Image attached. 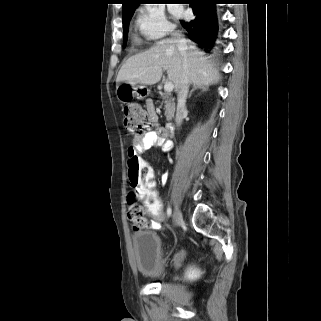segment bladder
I'll list each match as a JSON object with an SVG mask.
<instances>
[{"mask_svg": "<svg viewBox=\"0 0 321 321\" xmlns=\"http://www.w3.org/2000/svg\"><path fill=\"white\" fill-rule=\"evenodd\" d=\"M136 266L140 273L150 278H160L164 273L162 241L154 231H139L131 235Z\"/></svg>", "mask_w": 321, "mask_h": 321, "instance_id": "bladder-1", "label": "bladder"}]
</instances>
